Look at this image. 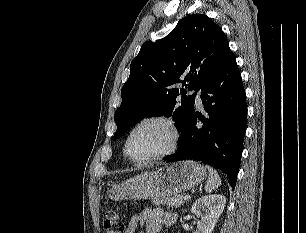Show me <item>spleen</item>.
I'll list each match as a JSON object with an SVG mask.
<instances>
[{"mask_svg": "<svg viewBox=\"0 0 306 233\" xmlns=\"http://www.w3.org/2000/svg\"><path fill=\"white\" fill-rule=\"evenodd\" d=\"M206 167L209 171V177L206 182L205 191L207 193H211L213 190H215L221 185V179L219 177V174L214 168L210 166H206Z\"/></svg>", "mask_w": 306, "mask_h": 233, "instance_id": "spleen-1", "label": "spleen"}]
</instances>
